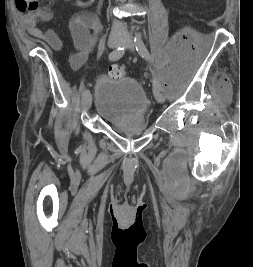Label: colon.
Masks as SVG:
<instances>
[{"instance_id":"5ec220e1","label":"colon","mask_w":253,"mask_h":267,"mask_svg":"<svg viewBox=\"0 0 253 267\" xmlns=\"http://www.w3.org/2000/svg\"><path fill=\"white\" fill-rule=\"evenodd\" d=\"M16 7L20 11H34L38 7V0H16ZM109 74L113 78H121L126 74V67L121 64L112 65Z\"/></svg>"}]
</instances>
